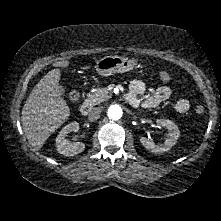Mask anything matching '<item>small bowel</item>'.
<instances>
[{"label":"small bowel","instance_id":"1","mask_svg":"<svg viewBox=\"0 0 221 221\" xmlns=\"http://www.w3.org/2000/svg\"><path fill=\"white\" fill-rule=\"evenodd\" d=\"M165 72H161V76L164 75ZM146 90L145 83L141 80H133L130 83V96L133 98V102L130 103L132 106L136 108L142 109H153L157 107L161 102L166 101L170 98L172 91L168 86L159 87L154 94L141 101L139 96L142 95ZM175 108L178 112L184 113L187 112L190 108V104L188 100L184 98H179L176 101Z\"/></svg>","mask_w":221,"mask_h":221}]
</instances>
